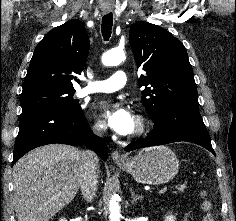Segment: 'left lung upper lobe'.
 I'll use <instances>...</instances> for the list:
<instances>
[{
	"label": "left lung upper lobe",
	"instance_id": "5c2ea615",
	"mask_svg": "<svg viewBox=\"0 0 236 221\" xmlns=\"http://www.w3.org/2000/svg\"><path fill=\"white\" fill-rule=\"evenodd\" d=\"M130 46L140 76L142 103L156 121L170 105L199 107L192 66L184 45L167 30L147 22H136L130 29Z\"/></svg>",
	"mask_w": 236,
	"mask_h": 221
}]
</instances>
